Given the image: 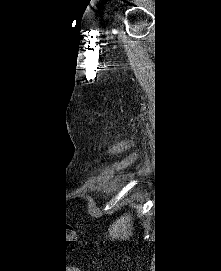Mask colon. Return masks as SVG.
<instances>
[{
  "instance_id": "colon-1",
  "label": "colon",
  "mask_w": 221,
  "mask_h": 271,
  "mask_svg": "<svg viewBox=\"0 0 221 271\" xmlns=\"http://www.w3.org/2000/svg\"><path fill=\"white\" fill-rule=\"evenodd\" d=\"M69 238H70V235H69L68 233H65V235H64V240H65V241H68Z\"/></svg>"
}]
</instances>
